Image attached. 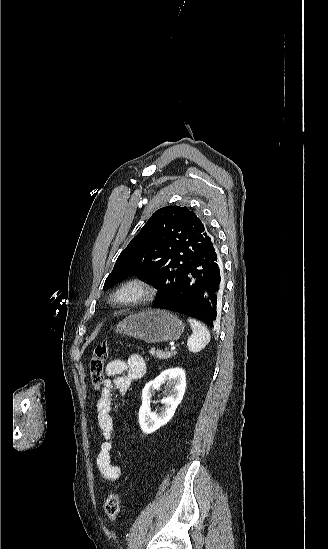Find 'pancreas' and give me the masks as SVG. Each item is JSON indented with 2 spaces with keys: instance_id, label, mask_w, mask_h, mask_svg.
<instances>
[{
  "instance_id": "pancreas-1",
  "label": "pancreas",
  "mask_w": 328,
  "mask_h": 549,
  "mask_svg": "<svg viewBox=\"0 0 328 549\" xmlns=\"http://www.w3.org/2000/svg\"><path fill=\"white\" fill-rule=\"evenodd\" d=\"M149 353L150 355H153V357H156V359H163V361H166V359H171V357H175V355H177L176 351H160V349H157V351L151 349Z\"/></svg>"
}]
</instances>
